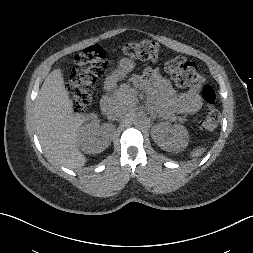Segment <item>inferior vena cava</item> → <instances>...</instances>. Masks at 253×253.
Listing matches in <instances>:
<instances>
[{
    "mask_svg": "<svg viewBox=\"0 0 253 253\" xmlns=\"http://www.w3.org/2000/svg\"><path fill=\"white\" fill-rule=\"evenodd\" d=\"M126 113H127L126 105L125 103L122 102L111 103L106 112L107 118L109 120H120L124 117Z\"/></svg>",
    "mask_w": 253,
    "mask_h": 253,
    "instance_id": "obj_1",
    "label": "inferior vena cava"
}]
</instances>
